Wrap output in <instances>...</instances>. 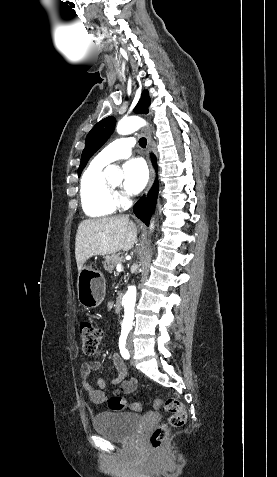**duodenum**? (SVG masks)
I'll return each mask as SVG.
<instances>
[{
  "mask_svg": "<svg viewBox=\"0 0 277 477\" xmlns=\"http://www.w3.org/2000/svg\"><path fill=\"white\" fill-rule=\"evenodd\" d=\"M123 308V299L118 297L114 303V310L116 313H121Z\"/></svg>",
  "mask_w": 277,
  "mask_h": 477,
  "instance_id": "410a0bca",
  "label": "duodenum"
}]
</instances>
